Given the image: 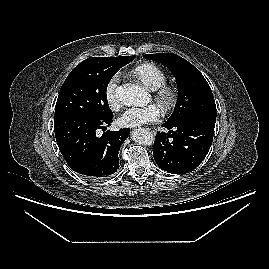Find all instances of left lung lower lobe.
<instances>
[{
	"label": "left lung lower lobe",
	"instance_id": "obj_1",
	"mask_svg": "<svg viewBox=\"0 0 269 269\" xmlns=\"http://www.w3.org/2000/svg\"><path fill=\"white\" fill-rule=\"evenodd\" d=\"M216 113L203 112L175 125L164 123L169 132L158 133L153 156L169 173L193 171L206 157L213 141Z\"/></svg>",
	"mask_w": 269,
	"mask_h": 269
}]
</instances>
